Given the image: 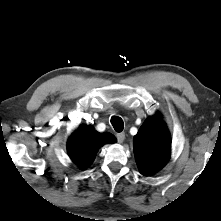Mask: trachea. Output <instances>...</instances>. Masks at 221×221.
Instances as JSON below:
<instances>
[{
  "label": "trachea",
  "mask_w": 221,
  "mask_h": 221,
  "mask_svg": "<svg viewBox=\"0 0 221 221\" xmlns=\"http://www.w3.org/2000/svg\"><path fill=\"white\" fill-rule=\"evenodd\" d=\"M111 124L113 125L116 132H121L124 128L123 120L118 116H113L111 118Z\"/></svg>",
  "instance_id": "obj_1"
}]
</instances>
